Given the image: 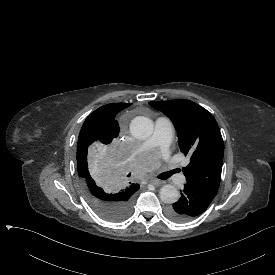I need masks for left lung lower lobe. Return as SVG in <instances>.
Masks as SVG:
<instances>
[{"label": "left lung lower lobe", "mask_w": 275, "mask_h": 275, "mask_svg": "<svg viewBox=\"0 0 275 275\" xmlns=\"http://www.w3.org/2000/svg\"><path fill=\"white\" fill-rule=\"evenodd\" d=\"M215 194L202 187L186 183L181 198L167 209V215L175 222H186L202 214L211 203Z\"/></svg>", "instance_id": "1"}]
</instances>
